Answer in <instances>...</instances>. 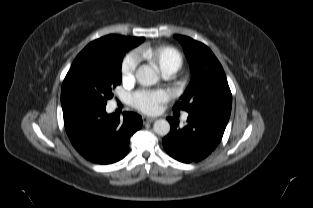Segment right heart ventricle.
I'll use <instances>...</instances> for the list:
<instances>
[{"label":"right heart ventricle","mask_w":313,"mask_h":208,"mask_svg":"<svg viewBox=\"0 0 313 208\" xmlns=\"http://www.w3.org/2000/svg\"><path fill=\"white\" fill-rule=\"evenodd\" d=\"M139 55L153 63L161 73L178 71L182 64V55L169 46H143L138 50Z\"/></svg>","instance_id":"obj_1"}]
</instances>
